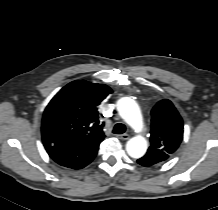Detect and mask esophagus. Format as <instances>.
I'll return each instance as SVG.
<instances>
[{
  "label": "esophagus",
  "mask_w": 218,
  "mask_h": 210,
  "mask_svg": "<svg viewBox=\"0 0 218 210\" xmlns=\"http://www.w3.org/2000/svg\"><path fill=\"white\" fill-rule=\"evenodd\" d=\"M129 135L128 134H121V135H117V138L121 139V140H128L129 139Z\"/></svg>",
  "instance_id": "esophagus-1"
}]
</instances>
